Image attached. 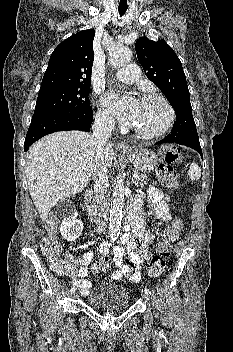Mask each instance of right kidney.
<instances>
[{"instance_id": "ca27d5eb", "label": "right kidney", "mask_w": 233, "mask_h": 352, "mask_svg": "<svg viewBox=\"0 0 233 352\" xmlns=\"http://www.w3.org/2000/svg\"><path fill=\"white\" fill-rule=\"evenodd\" d=\"M82 230L83 223L77 219L75 210L63 219L60 226V233L67 241H75L82 234Z\"/></svg>"}]
</instances>
